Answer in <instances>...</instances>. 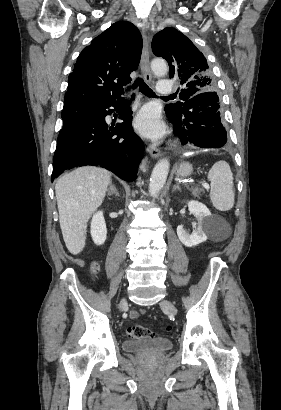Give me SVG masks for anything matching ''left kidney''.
I'll return each mask as SVG.
<instances>
[{
    "instance_id": "1",
    "label": "left kidney",
    "mask_w": 281,
    "mask_h": 410,
    "mask_svg": "<svg viewBox=\"0 0 281 410\" xmlns=\"http://www.w3.org/2000/svg\"><path fill=\"white\" fill-rule=\"evenodd\" d=\"M190 213L198 220V227L189 234L182 225L177 227L179 240L187 247H194L207 240L206 227L210 223L211 212L201 202L191 200L187 202Z\"/></svg>"
}]
</instances>
